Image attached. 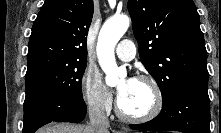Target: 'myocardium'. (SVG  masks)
Listing matches in <instances>:
<instances>
[{"mask_svg": "<svg viewBox=\"0 0 221 133\" xmlns=\"http://www.w3.org/2000/svg\"><path fill=\"white\" fill-rule=\"evenodd\" d=\"M136 80L149 84L153 93V104L150 110L141 115H131L123 111L120 100H117L116 114L117 116L128 122L144 123L156 118L163 108V93L159 83L151 76L139 75Z\"/></svg>", "mask_w": 221, "mask_h": 133, "instance_id": "myocardium-1", "label": "myocardium"}]
</instances>
